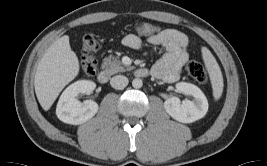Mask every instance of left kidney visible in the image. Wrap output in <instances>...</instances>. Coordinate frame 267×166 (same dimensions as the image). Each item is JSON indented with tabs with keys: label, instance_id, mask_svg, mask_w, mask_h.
Listing matches in <instances>:
<instances>
[{
	"label": "left kidney",
	"instance_id": "1",
	"mask_svg": "<svg viewBox=\"0 0 267 166\" xmlns=\"http://www.w3.org/2000/svg\"><path fill=\"white\" fill-rule=\"evenodd\" d=\"M179 92L194 97L182 102L177 97H170L164 102L166 112L175 120L182 123H192L203 118L208 111V101L204 93L196 85L186 82L176 84Z\"/></svg>",
	"mask_w": 267,
	"mask_h": 166
}]
</instances>
